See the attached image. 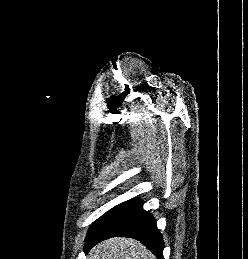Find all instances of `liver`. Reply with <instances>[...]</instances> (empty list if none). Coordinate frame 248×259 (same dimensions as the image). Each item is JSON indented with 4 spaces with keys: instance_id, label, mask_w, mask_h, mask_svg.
<instances>
[{
    "instance_id": "obj_1",
    "label": "liver",
    "mask_w": 248,
    "mask_h": 259,
    "mask_svg": "<svg viewBox=\"0 0 248 259\" xmlns=\"http://www.w3.org/2000/svg\"><path fill=\"white\" fill-rule=\"evenodd\" d=\"M88 259H156L139 241L116 237L105 240L88 253Z\"/></svg>"
}]
</instances>
